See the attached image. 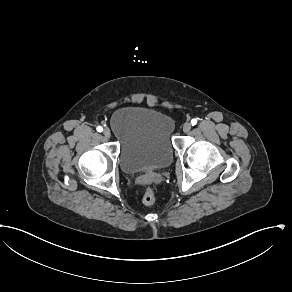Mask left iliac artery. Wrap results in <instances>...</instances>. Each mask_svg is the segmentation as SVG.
<instances>
[{"mask_svg":"<svg viewBox=\"0 0 292 292\" xmlns=\"http://www.w3.org/2000/svg\"><path fill=\"white\" fill-rule=\"evenodd\" d=\"M191 124L194 126V125H196L197 124V119H192L191 120Z\"/></svg>","mask_w":292,"mask_h":292,"instance_id":"obj_1","label":"left iliac artery"}]
</instances>
